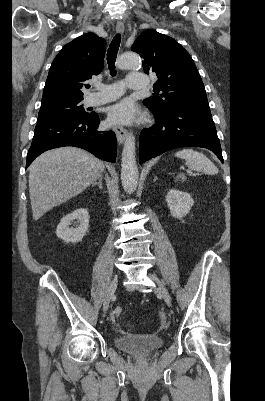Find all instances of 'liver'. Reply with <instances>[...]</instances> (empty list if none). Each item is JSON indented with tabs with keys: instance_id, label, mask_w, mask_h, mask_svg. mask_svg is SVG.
Returning <instances> with one entry per match:
<instances>
[{
	"instance_id": "obj_1",
	"label": "liver",
	"mask_w": 265,
	"mask_h": 401,
	"mask_svg": "<svg viewBox=\"0 0 265 401\" xmlns=\"http://www.w3.org/2000/svg\"><path fill=\"white\" fill-rule=\"evenodd\" d=\"M104 168L103 160L74 146L53 148L37 156L29 166V194L34 221L83 192L102 176Z\"/></svg>"
}]
</instances>
